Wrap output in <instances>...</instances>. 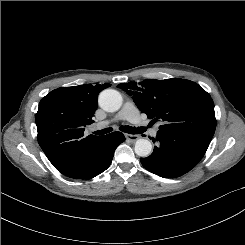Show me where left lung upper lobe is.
<instances>
[{"mask_svg": "<svg viewBox=\"0 0 245 245\" xmlns=\"http://www.w3.org/2000/svg\"><path fill=\"white\" fill-rule=\"evenodd\" d=\"M142 113L161 121L159 130L188 132L212 139L216 119L209 93L195 82L172 78L118 84Z\"/></svg>", "mask_w": 245, "mask_h": 245, "instance_id": "5c2ea615", "label": "left lung upper lobe"}]
</instances>
